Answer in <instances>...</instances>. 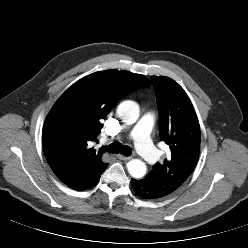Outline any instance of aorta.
Segmentation results:
<instances>
[{
  "label": "aorta",
  "instance_id": "obj_1",
  "mask_svg": "<svg viewBox=\"0 0 248 248\" xmlns=\"http://www.w3.org/2000/svg\"><path fill=\"white\" fill-rule=\"evenodd\" d=\"M139 105L131 100L121 102L117 108L118 116L126 123L133 124L139 118ZM129 174L136 179L142 178L147 171L146 164L139 159H132L127 163Z\"/></svg>",
  "mask_w": 248,
  "mask_h": 248
}]
</instances>
